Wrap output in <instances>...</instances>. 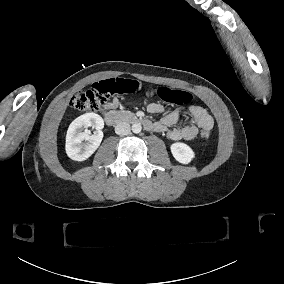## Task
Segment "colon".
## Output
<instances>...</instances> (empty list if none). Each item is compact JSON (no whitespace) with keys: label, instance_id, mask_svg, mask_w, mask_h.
Masks as SVG:
<instances>
[{"label":"colon","instance_id":"colon-1","mask_svg":"<svg viewBox=\"0 0 284 284\" xmlns=\"http://www.w3.org/2000/svg\"><path fill=\"white\" fill-rule=\"evenodd\" d=\"M143 86L142 82L136 79L111 78L98 81L88 87L80 89L71 99L73 109L83 112L96 111L109 101L112 95L134 94ZM157 93L165 98L170 105L187 106L192 101V94L187 89L170 88L165 93L162 88ZM208 137L209 132L204 130L201 134Z\"/></svg>","mask_w":284,"mask_h":284}]
</instances>
